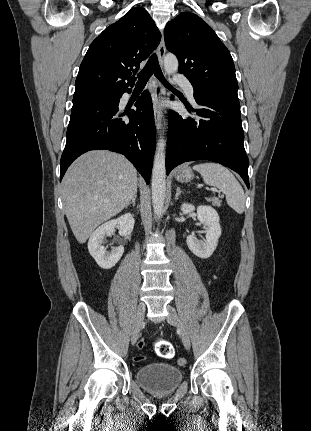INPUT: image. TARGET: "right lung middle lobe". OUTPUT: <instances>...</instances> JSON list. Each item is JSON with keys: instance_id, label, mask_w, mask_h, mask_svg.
Masks as SVG:
<instances>
[{"instance_id": "dd1d6c3e", "label": "right lung middle lobe", "mask_w": 311, "mask_h": 431, "mask_svg": "<svg viewBox=\"0 0 311 431\" xmlns=\"http://www.w3.org/2000/svg\"><path fill=\"white\" fill-rule=\"evenodd\" d=\"M119 93H100V94H90V95H80L74 96L73 103L90 100V99H98V98H117Z\"/></svg>"}]
</instances>
